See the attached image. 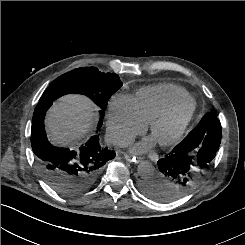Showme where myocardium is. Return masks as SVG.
Returning a JSON list of instances; mask_svg holds the SVG:
<instances>
[{"label":"myocardium","mask_w":245,"mask_h":245,"mask_svg":"<svg viewBox=\"0 0 245 245\" xmlns=\"http://www.w3.org/2000/svg\"><path fill=\"white\" fill-rule=\"evenodd\" d=\"M186 107H188L189 110L185 115V117L182 119V121L179 123L174 133L165 140H157L158 144L161 147L167 148L173 146L181 140V138L183 137L184 133L186 132L188 126L190 125L195 115L196 108H197L196 102L192 97L179 101L171 105L170 107H168L166 110H164L157 116H155L149 122V132L152 136H154L155 131L159 125L172 119L178 112H180Z\"/></svg>","instance_id":"1"}]
</instances>
